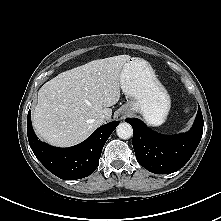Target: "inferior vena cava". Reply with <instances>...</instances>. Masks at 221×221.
<instances>
[{
	"mask_svg": "<svg viewBox=\"0 0 221 221\" xmlns=\"http://www.w3.org/2000/svg\"><path fill=\"white\" fill-rule=\"evenodd\" d=\"M97 122H98L99 124H103V123L105 122V116H104V115H101V116L98 118Z\"/></svg>",
	"mask_w": 221,
	"mask_h": 221,
	"instance_id": "1",
	"label": "inferior vena cava"
}]
</instances>
